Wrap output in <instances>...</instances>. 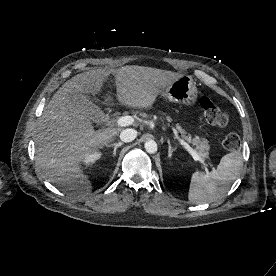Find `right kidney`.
Masks as SVG:
<instances>
[{
    "mask_svg": "<svg viewBox=\"0 0 276 276\" xmlns=\"http://www.w3.org/2000/svg\"><path fill=\"white\" fill-rule=\"evenodd\" d=\"M101 157L100 152H94V153H89L85 156L84 162L89 165L94 163L96 160H98Z\"/></svg>",
    "mask_w": 276,
    "mask_h": 276,
    "instance_id": "obj_1",
    "label": "right kidney"
}]
</instances>
